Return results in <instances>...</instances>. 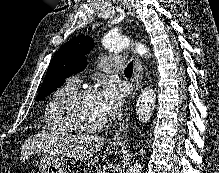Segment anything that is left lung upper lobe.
<instances>
[{
  "label": "left lung upper lobe",
  "instance_id": "1",
  "mask_svg": "<svg viewBox=\"0 0 219 173\" xmlns=\"http://www.w3.org/2000/svg\"><path fill=\"white\" fill-rule=\"evenodd\" d=\"M94 46L89 36L80 35L64 44L54 55L44 82L36 97L39 101L59 88L66 77L81 72L86 67V53Z\"/></svg>",
  "mask_w": 219,
  "mask_h": 173
}]
</instances>
